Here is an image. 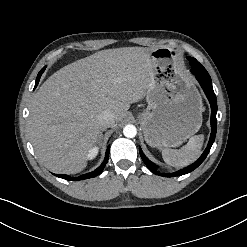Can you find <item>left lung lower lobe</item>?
Returning <instances> with one entry per match:
<instances>
[{
  "mask_svg": "<svg viewBox=\"0 0 247 247\" xmlns=\"http://www.w3.org/2000/svg\"><path fill=\"white\" fill-rule=\"evenodd\" d=\"M192 69L191 72L196 76V79L198 80L199 84L201 85L204 93L206 94L210 105H211V135H210V139L208 142V146L205 149V151L203 152V154L201 155V157L194 162L193 164H191L188 167H185L177 172L174 173H160L157 171V165H155L153 162H151L142 152L141 148H139V153L140 156L142 158V160L144 161V163L146 164V166L149 168V170L154 173L157 174L159 176H163V177H176V176H181L187 173L192 172L193 170H195L207 157L212 144L214 143L215 140V136H216V130H217V119H216V113H217V101H216V95L213 91V87H212V82H211V78L210 76H205L203 73H201L198 69V67H196V65L192 64Z\"/></svg>",
  "mask_w": 247,
  "mask_h": 247,
  "instance_id": "left-lung-lower-lobe-1",
  "label": "left lung lower lobe"
}]
</instances>
